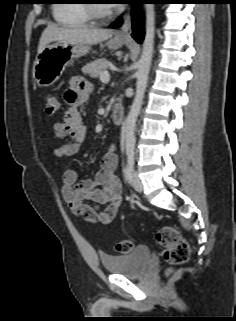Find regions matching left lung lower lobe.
Listing matches in <instances>:
<instances>
[{
    "label": "left lung lower lobe",
    "mask_w": 236,
    "mask_h": 321,
    "mask_svg": "<svg viewBox=\"0 0 236 321\" xmlns=\"http://www.w3.org/2000/svg\"><path fill=\"white\" fill-rule=\"evenodd\" d=\"M154 0H134L132 4H135L133 11H132V37L138 42L141 43L144 38V29L142 26V14L137 7L138 4L144 3H158V2H151ZM122 23V19L119 18L113 24H111L112 28H118Z\"/></svg>",
    "instance_id": "0a47b994"
}]
</instances>
